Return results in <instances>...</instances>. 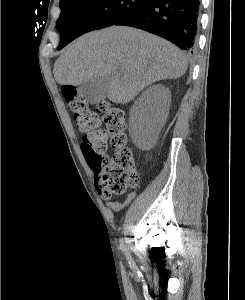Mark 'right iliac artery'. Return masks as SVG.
<instances>
[{
	"label": "right iliac artery",
	"mask_w": 245,
	"mask_h": 300,
	"mask_svg": "<svg viewBox=\"0 0 245 300\" xmlns=\"http://www.w3.org/2000/svg\"><path fill=\"white\" fill-rule=\"evenodd\" d=\"M120 249L122 250V251H126V248H125V245H124V240L123 239H121L120 240Z\"/></svg>",
	"instance_id": "right-iliac-artery-1"
}]
</instances>
